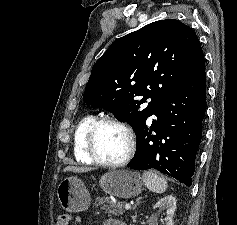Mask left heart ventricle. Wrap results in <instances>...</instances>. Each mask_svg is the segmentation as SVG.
I'll return each mask as SVG.
<instances>
[{
    "mask_svg": "<svg viewBox=\"0 0 237 225\" xmlns=\"http://www.w3.org/2000/svg\"><path fill=\"white\" fill-rule=\"evenodd\" d=\"M95 148L100 158L118 161L125 156L128 149L126 134L117 126L103 125L96 133Z\"/></svg>",
    "mask_w": 237,
    "mask_h": 225,
    "instance_id": "left-heart-ventricle-1",
    "label": "left heart ventricle"
}]
</instances>
